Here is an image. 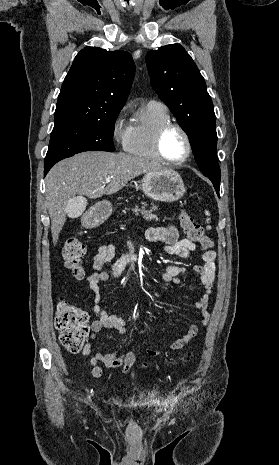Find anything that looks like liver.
Wrapping results in <instances>:
<instances>
[{"mask_svg": "<svg viewBox=\"0 0 279 465\" xmlns=\"http://www.w3.org/2000/svg\"><path fill=\"white\" fill-rule=\"evenodd\" d=\"M161 168L150 161L125 153L88 151L64 159L48 172L45 184V204L51 219L53 244L66 221L67 204L76 195L96 199L121 190L141 174L154 173ZM111 181L105 187V180Z\"/></svg>", "mask_w": 279, "mask_h": 465, "instance_id": "liver-1", "label": "liver"}]
</instances>
